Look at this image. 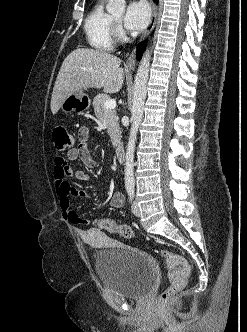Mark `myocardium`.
<instances>
[{"label": "myocardium", "instance_id": "f54148a6", "mask_svg": "<svg viewBox=\"0 0 247 332\" xmlns=\"http://www.w3.org/2000/svg\"><path fill=\"white\" fill-rule=\"evenodd\" d=\"M111 35L113 38V41H124L125 40V33L123 32L120 23L115 21L113 18L111 19Z\"/></svg>", "mask_w": 247, "mask_h": 332}]
</instances>
